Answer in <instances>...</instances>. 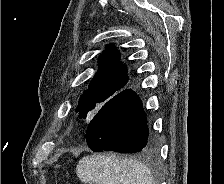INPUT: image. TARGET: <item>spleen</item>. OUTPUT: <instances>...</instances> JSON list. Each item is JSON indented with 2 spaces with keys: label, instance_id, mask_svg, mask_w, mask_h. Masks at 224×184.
<instances>
[{
  "label": "spleen",
  "instance_id": "spleen-1",
  "mask_svg": "<svg viewBox=\"0 0 224 184\" xmlns=\"http://www.w3.org/2000/svg\"><path fill=\"white\" fill-rule=\"evenodd\" d=\"M76 174L88 184H155L152 171L145 164L109 154L83 157Z\"/></svg>",
  "mask_w": 224,
  "mask_h": 184
}]
</instances>
